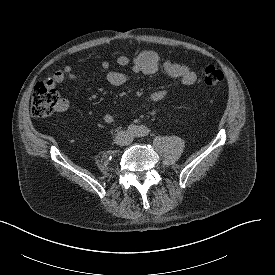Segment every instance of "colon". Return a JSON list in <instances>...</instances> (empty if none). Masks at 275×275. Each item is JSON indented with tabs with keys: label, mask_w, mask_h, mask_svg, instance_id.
Wrapping results in <instances>:
<instances>
[{
	"label": "colon",
	"mask_w": 275,
	"mask_h": 275,
	"mask_svg": "<svg viewBox=\"0 0 275 275\" xmlns=\"http://www.w3.org/2000/svg\"><path fill=\"white\" fill-rule=\"evenodd\" d=\"M224 75L214 65H208L203 69L204 84L211 89L217 88L223 82ZM60 104L57 91L47 82H37L32 90L31 112L38 118H48Z\"/></svg>",
	"instance_id": "colon-1"
}]
</instances>
